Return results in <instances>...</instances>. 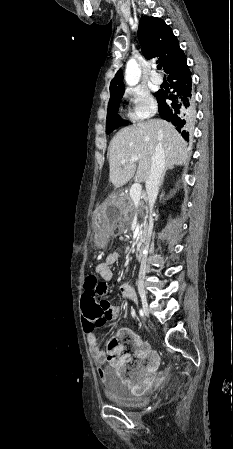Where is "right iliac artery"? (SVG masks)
<instances>
[{
  "instance_id": "82829eb1",
  "label": "right iliac artery",
  "mask_w": 233,
  "mask_h": 449,
  "mask_svg": "<svg viewBox=\"0 0 233 449\" xmlns=\"http://www.w3.org/2000/svg\"><path fill=\"white\" fill-rule=\"evenodd\" d=\"M139 313L142 317H144V312L141 309L139 310Z\"/></svg>"
}]
</instances>
